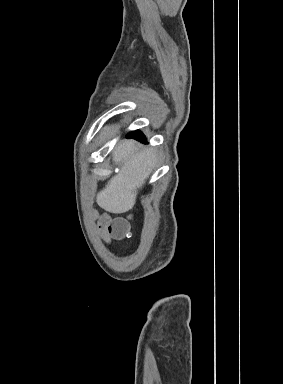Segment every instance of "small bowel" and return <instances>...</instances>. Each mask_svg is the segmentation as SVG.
Listing matches in <instances>:
<instances>
[{"mask_svg": "<svg viewBox=\"0 0 283 384\" xmlns=\"http://www.w3.org/2000/svg\"><path fill=\"white\" fill-rule=\"evenodd\" d=\"M112 222V218L107 214L101 215L97 222V229L99 234L107 242L110 241L112 235L110 232V226L112 225Z\"/></svg>", "mask_w": 283, "mask_h": 384, "instance_id": "c3829d8e", "label": "small bowel"}]
</instances>
